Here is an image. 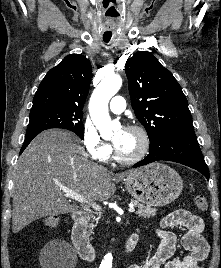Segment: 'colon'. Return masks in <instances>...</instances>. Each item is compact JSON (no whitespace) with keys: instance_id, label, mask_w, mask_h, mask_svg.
Masks as SVG:
<instances>
[{"instance_id":"5ec220e1","label":"colon","mask_w":221,"mask_h":268,"mask_svg":"<svg viewBox=\"0 0 221 268\" xmlns=\"http://www.w3.org/2000/svg\"><path fill=\"white\" fill-rule=\"evenodd\" d=\"M194 204L200 211H206L208 209V202L202 195H198L194 198ZM59 223L57 216L51 215L43 219V224L47 228H55Z\"/></svg>"}]
</instances>
